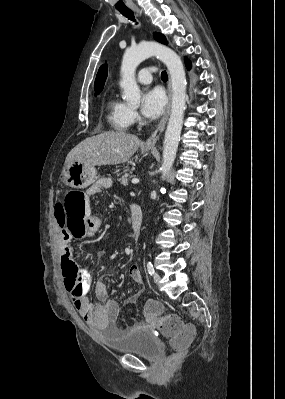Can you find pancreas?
<instances>
[{
    "instance_id": "cf45deb5",
    "label": "pancreas",
    "mask_w": 285,
    "mask_h": 399,
    "mask_svg": "<svg viewBox=\"0 0 285 399\" xmlns=\"http://www.w3.org/2000/svg\"><path fill=\"white\" fill-rule=\"evenodd\" d=\"M119 181L121 182V184L123 185H128L129 183V175L127 173H125L120 179Z\"/></svg>"
}]
</instances>
